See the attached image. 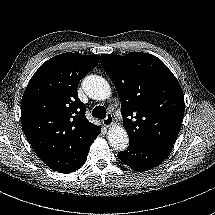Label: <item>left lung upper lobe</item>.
<instances>
[{
    "label": "left lung upper lobe",
    "instance_id": "obj_1",
    "mask_svg": "<svg viewBox=\"0 0 215 215\" xmlns=\"http://www.w3.org/2000/svg\"><path fill=\"white\" fill-rule=\"evenodd\" d=\"M101 65L121 100L130 143L173 144L185 104L181 86L169 68L154 55L141 52L102 54Z\"/></svg>",
    "mask_w": 215,
    "mask_h": 215
}]
</instances>
